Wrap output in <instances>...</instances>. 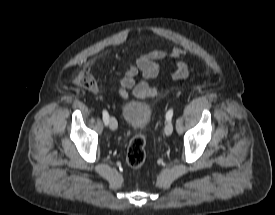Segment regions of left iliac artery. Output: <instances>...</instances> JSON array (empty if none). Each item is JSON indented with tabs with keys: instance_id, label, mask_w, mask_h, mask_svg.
<instances>
[{
	"instance_id": "left-iliac-artery-1",
	"label": "left iliac artery",
	"mask_w": 275,
	"mask_h": 215,
	"mask_svg": "<svg viewBox=\"0 0 275 215\" xmlns=\"http://www.w3.org/2000/svg\"><path fill=\"white\" fill-rule=\"evenodd\" d=\"M172 116H173V110L171 109L166 113V120L171 121Z\"/></svg>"
}]
</instances>
